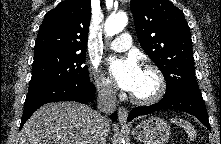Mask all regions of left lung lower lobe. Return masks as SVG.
<instances>
[{
	"mask_svg": "<svg viewBox=\"0 0 221 144\" xmlns=\"http://www.w3.org/2000/svg\"><path fill=\"white\" fill-rule=\"evenodd\" d=\"M162 109H175L192 114L210 130V124L203 98L191 94H174L164 96L163 99L156 104L136 107L130 112L128 121H131L135 117L147 115Z\"/></svg>",
	"mask_w": 221,
	"mask_h": 144,
	"instance_id": "0a47b994",
	"label": "left lung lower lobe"
}]
</instances>
